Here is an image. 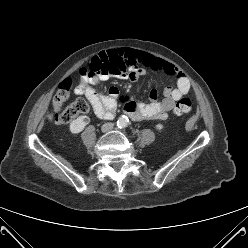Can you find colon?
I'll list each match as a JSON object with an SVG mask.
<instances>
[{
  "instance_id": "colon-1",
  "label": "colon",
  "mask_w": 248,
  "mask_h": 248,
  "mask_svg": "<svg viewBox=\"0 0 248 248\" xmlns=\"http://www.w3.org/2000/svg\"><path fill=\"white\" fill-rule=\"evenodd\" d=\"M125 67V63L120 57L116 56L115 54H110L105 59L96 60V58H94L87 68V73L89 75H95L99 73L119 72L125 70ZM71 87V80L63 81L59 84L55 93L53 105L56 111L55 122L58 125L68 124L79 114L86 113L89 110L87 102L83 99H78L71 105L62 108L63 103L70 96ZM122 102L126 104L127 100L122 99ZM192 105V101L189 98H181L177 101L173 109V113L175 115L188 113L191 111Z\"/></svg>"
}]
</instances>
